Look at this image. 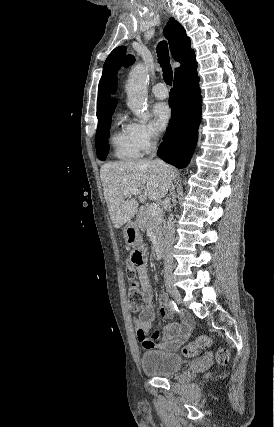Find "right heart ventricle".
Listing matches in <instances>:
<instances>
[{
	"mask_svg": "<svg viewBox=\"0 0 274 427\" xmlns=\"http://www.w3.org/2000/svg\"><path fill=\"white\" fill-rule=\"evenodd\" d=\"M110 145L117 159L133 161L140 156V150L132 136L131 124H124L118 120L110 138Z\"/></svg>",
	"mask_w": 274,
	"mask_h": 427,
	"instance_id": "1",
	"label": "right heart ventricle"
}]
</instances>
